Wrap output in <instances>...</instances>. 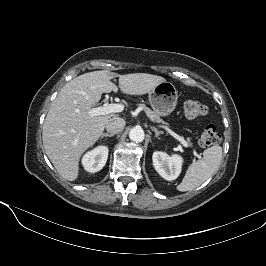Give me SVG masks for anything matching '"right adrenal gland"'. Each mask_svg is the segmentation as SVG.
<instances>
[{
	"mask_svg": "<svg viewBox=\"0 0 266 266\" xmlns=\"http://www.w3.org/2000/svg\"><path fill=\"white\" fill-rule=\"evenodd\" d=\"M113 136H114V134L103 133V134L101 135V139L104 138V137H113Z\"/></svg>",
	"mask_w": 266,
	"mask_h": 266,
	"instance_id": "obj_1",
	"label": "right adrenal gland"
}]
</instances>
